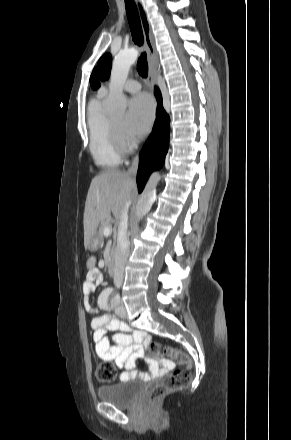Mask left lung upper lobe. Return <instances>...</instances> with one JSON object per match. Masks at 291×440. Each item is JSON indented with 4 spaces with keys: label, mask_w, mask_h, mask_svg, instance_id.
Instances as JSON below:
<instances>
[{
    "label": "left lung upper lobe",
    "mask_w": 291,
    "mask_h": 440,
    "mask_svg": "<svg viewBox=\"0 0 291 440\" xmlns=\"http://www.w3.org/2000/svg\"><path fill=\"white\" fill-rule=\"evenodd\" d=\"M112 58L110 54H104L98 61L97 67L90 77V84L93 89L100 87L99 79L105 81L109 78Z\"/></svg>",
    "instance_id": "1"
}]
</instances>
